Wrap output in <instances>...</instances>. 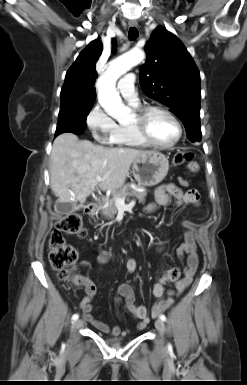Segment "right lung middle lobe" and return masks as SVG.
Returning a JSON list of instances; mask_svg holds the SVG:
<instances>
[{"label":"right lung middle lobe","mask_w":247,"mask_h":385,"mask_svg":"<svg viewBox=\"0 0 247 385\" xmlns=\"http://www.w3.org/2000/svg\"><path fill=\"white\" fill-rule=\"evenodd\" d=\"M92 106L93 102L61 101L55 137L65 132L83 133L87 126L86 118Z\"/></svg>","instance_id":"dd1d6c3e"}]
</instances>
